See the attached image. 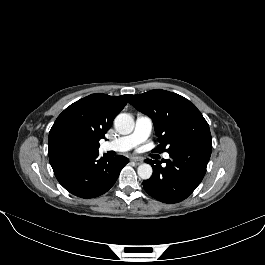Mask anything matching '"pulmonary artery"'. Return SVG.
Listing matches in <instances>:
<instances>
[{
  "label": "pulmonary artery",
  "mask_w": 265,
  "mask_h": 265,
  "mask_svg": "<svg viewBox=\"0 0 265 265\" xmlns=\"http://www.w3.org/2000/svg\"><path fill=\"white\" fill-rule=\"evenodd\" d=\"M153 130V121L148 116H138L134 131L126 136L108 141L103 145L104 150H114L117 152H126L140 143L144 142ZM164 158L168 159L169 154L164 153Z\"/></svg>",
  "instance_id": "pulmonary-artery-1"
}]
</instances>
